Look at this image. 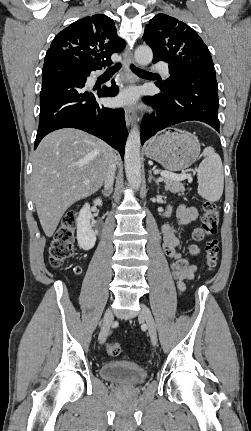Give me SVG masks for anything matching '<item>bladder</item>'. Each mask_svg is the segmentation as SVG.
Wrapping results in <instances>:
<instances>
[{"label": "bladder", "mask_w": 251, "mask_h": 431, "mask_svg": "<svg viewBox=\"0 0 251 431\" xmlns=\"http://www.w3.org/2000/svg\"><path fill=\"white\" fill-rule=\"evenodd\" d=\"M99 372L103 379L124 387L139 385L148 378L145 368L125 360L107 362L102 365Z\"/></svg>", "instance_id": "1"}]
</instances>
